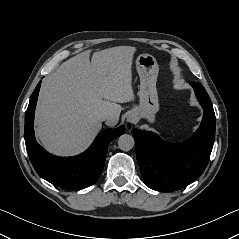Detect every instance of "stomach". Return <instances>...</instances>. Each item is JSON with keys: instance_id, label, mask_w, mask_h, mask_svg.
I'll list each match as a JSON object with an SVG mask.
<instances>
[{"instance_id": "obj_1", "label": "stomach", "mask_w": 239, "mask_h": 239, "mask_svg": "<svg viewBox=\"0 0 239 239\" xmlns=\"http://www.w3.org/2000/svg\"><path fill=\"white\" fill-rule=\"evenodd\" d=\"M136 69L140 77L139 105L130 113L136 115V120L145 118L153 123L160 108L156 88L159 71L156 58L147 53L139 55L136 59Z\"/></svg>"}]
</instances>
